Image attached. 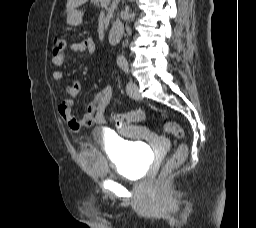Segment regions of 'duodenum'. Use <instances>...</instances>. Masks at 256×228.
<instances>
[{"instance_id":"1","label":"duodenum","mask_w":256,"mask_h":228,"mask_svg":"<svg viewBox=\"0 0 256 228\" xmlns=\"http://www.w3.org/2000/svg\"><path fill=\"white\" fill-rule=\"evenodd\" d=\"M123 26L121 23H115L108 33V42L110 44H117L123 36Z\"/></svg>"}]
</instances>
